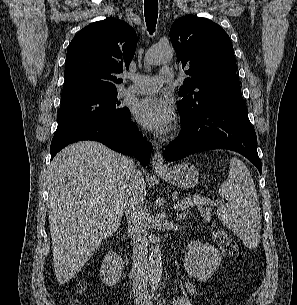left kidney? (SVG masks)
<instances>
[{
	"label": "left kidney",
	"mask_w": 297,
	"mask_h": 305,
	"mask_svg": "<svg viewBox=\"0 0 297 305\" xmlns=\"http://www.w3.org/2000/svg\"><path fill=\"white\" fill-rule=\"evenodd\" d=\"M222 256L210 244L193 241L188 244L184 258V268L198 281H207L219 267Z\"/></svg>",
	"instance_id": "obj_1"
}]
</instances>
